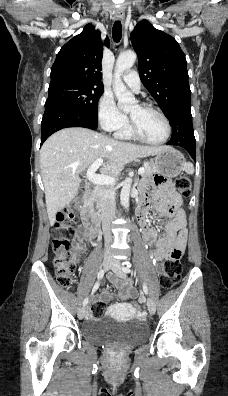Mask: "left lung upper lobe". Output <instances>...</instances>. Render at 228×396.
Listing matches in <instances>:
<instances>
[{"mask_svg":"<svg viewBox=\"0 0 228 396\" xmlns=\"http://www.w3.org/2000/svg\"><path fill=\"white\" fill-rule=\"evenodd\" d=\"M131 42L138 55L143 85L168 119H180V107L190 105L191 91L186 58L179 44L147 20L136 25Z\"/></svg>","mask_w":228,"mask_h":396,"instance_id":"1","label":"left lung upper lobe"}]
</instances>
